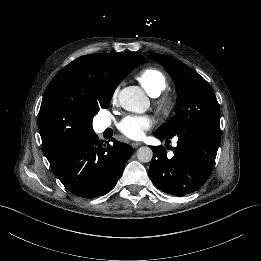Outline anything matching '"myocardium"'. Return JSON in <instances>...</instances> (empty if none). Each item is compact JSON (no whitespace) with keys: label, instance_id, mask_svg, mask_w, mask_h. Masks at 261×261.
<instances>
[{"label":"myocardium","instance_id":"myocardium-1","mask_svg":"<svg viewBox=\"0 0 261 261\" xmlns=\"http://www.w3.org/2000/svg\"><path fill=\"white\" fill-rule=\"evenodd\" d=\"M159 110L162 114L167 115L171 112L173 108V101L168 97H163L159 103Z\"/></svg>","mask_w":261,"mask_h":261}]
</instances>
